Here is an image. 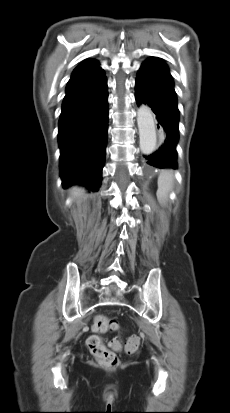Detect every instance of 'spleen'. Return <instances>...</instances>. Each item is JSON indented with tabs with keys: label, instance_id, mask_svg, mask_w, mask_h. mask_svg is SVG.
Instances as JSON below:
<instances>
[{
	"label": "spleen",
	"instance_id": "spleen-1",
	"mask_svg": "<svg viewBox=\"0 0 230 413\" xmlns=\"http://www.w3.org/2000/svg\"><path fill=\"white\" fill-rule=\"evenodd\" d=\"M174 182V174L171 170H164L158 178L157 197L161 204L167 200Z\"/></svg>",
	"mask_w": 230,
	"mask_h": 413
}]
</instances>
